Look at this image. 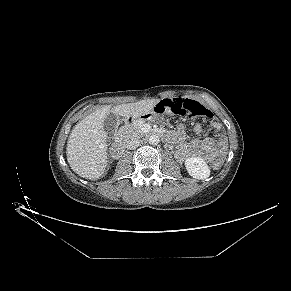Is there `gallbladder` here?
<instances>
[{"mask_svg": "<svg viewBox=\"0 0 291 291\" xmlns=\"http://www.w3.org/2000/svg\"><path fill=\"white\" fill-rule=\"evenodd\" d=\"M119 123V116L109 112L104 118L103 129L107 133L109 138L114 137L116 134Z\"/></svg>", "mask_w": 291, "mask_h": 291, "instance_id": "bac80fb5", "label": "gallbladder"}]
</instances>
